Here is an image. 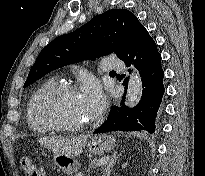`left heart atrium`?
Instances as JSON below:
<instances>
[{"label":"left heart atrium","instance_id":"39dd6f15","mask_svg":"<svg viewBox=\"0 0 205 176\" xmlns=\"http://www.w3.org/2000/svg\"><path fill=\"white\" fill-rule=\"evenodd\" d=\"M78 96L89 117L100 114L106 104L104 93L95 81H87L82 86Z\"/></svg>","mask_w":205,"mask_h":176}]
</instances>
